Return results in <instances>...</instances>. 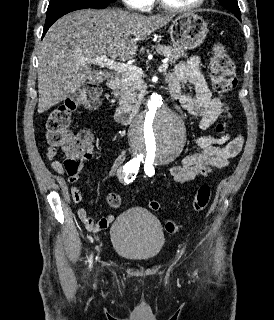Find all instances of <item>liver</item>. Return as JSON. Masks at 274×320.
I'll list each match as a JSON object with an SVG mask.
<instances>
[{
	"mask_svg": "<svg viewBox=\"0 0 274 320\" xmlns=\"http://www.w3.org/2000/svg\"><path fill=\"white\" fill-rule=\"evenodd\" d=\"M174 16H141L119 8L77 10L49 28L38 50V114H43L95 78L81 58L100 54L126 62L134 58L138 40L167 26Z\"/></svg>",
	"mask_w": 274,
	"mask_h": 320,
	"instance_id": "1",
	"label": "liver"
}]
</instances>
